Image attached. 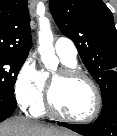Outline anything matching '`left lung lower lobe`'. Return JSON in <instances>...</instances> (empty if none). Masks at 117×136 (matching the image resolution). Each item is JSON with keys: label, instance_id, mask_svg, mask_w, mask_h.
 Masks as SVG:
<instances>
[{"label": "left lung lower lobe", "instance_id": "0a47b994", "mask_svg": "<svg viewBox=\"0 0 117 136\" xmlns=\"http://www.w3.org/2000/svg\"><path fill=\"white\" fill-rule=\"evenodd\" d=\"M85 136H117V94L103 103L97 120L87 125L58 123Z\"/></svg>", "mask_w": 117, "mask_h": 136}]
</instances>
